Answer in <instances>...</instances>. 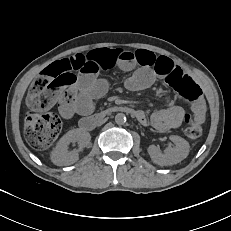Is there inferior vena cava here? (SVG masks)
I'll use <instances>...</instances> for the list:
<instances>
[{
    "label": "inferior vena cava",
    "mask_w": 231,
    "mask_h": 231,
    "mask_svg": "<svg viewBox=\"0 0 231 231\" xmlns=\"http://www.w3.org/2000/svg\"><path fill=\"white\" fill-rule=\"evenodd\" d=\"M110 120H111L110 116L104 117L100 122H98V127L103 128L104 125L106 124V122H108Z\"/></svg>",
    "instance_id": "inferior-vena-cava-1"
}]
</instances>
